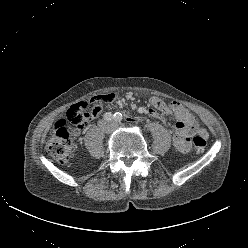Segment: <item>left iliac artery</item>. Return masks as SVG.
<instances>
[{
  "mask_svg": "<svg viewBox=\"0 0 248 248\" xmlns=\"http://www.w3.org/2000/svg\"><path fill=\"white\" fill-rule=\"evenodd\" d=\"M122 119H123V115L120 112H116L114 114V120L115 121L120 122V121H122Z\"/></svg>",
  "mask_w": 248,
  "mask_h": 248,
  "instance_id": "44dca946",
  "label": "left iliac artery"
}]
</instances>
